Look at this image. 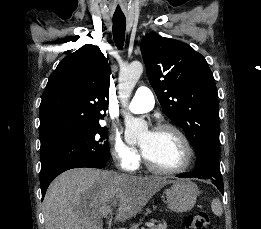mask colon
Instances as JSON below:
<instances>
[{
    "mask_svg": "<svg viewBox=\"0 0 261 229\" xmlns=\"http://www.w3.org/2000/svg\"><path fill=\"white\" fill-rule=\"evenodd\" d=\"M211 217L205 211H195L190 213L185 220L186 229H209Z\"/></svg>",
    "mask_w": 261,
    "mask_h": 229,
    "instance_id": "colon-1",
    "label": "colon"
}]
</instances>
